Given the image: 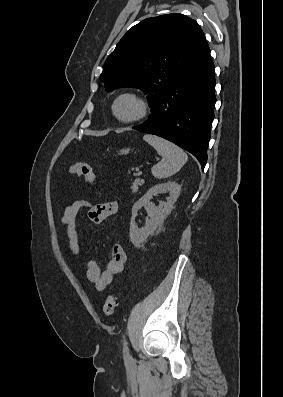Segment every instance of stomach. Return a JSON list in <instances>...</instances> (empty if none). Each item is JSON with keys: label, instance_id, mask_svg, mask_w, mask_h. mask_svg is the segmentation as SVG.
I'll use <instances>...</instances> for the list:
<instances>
[{"label": "stomach", "instance_id": "obj_1", "mask_svg": "<svg viewBox=\"0 0 283 397\" xmlns=\"http://www.w3.org/2000/svg\"><path fill=\"white\" fill-rule=\"evenodd\" d=\"M120 153H121V154H127V153H129V148L120 150Z\"/></svg>", "mask_w": 283, "mask_h": 397}]
</instances>
